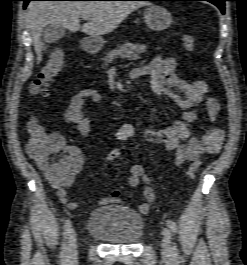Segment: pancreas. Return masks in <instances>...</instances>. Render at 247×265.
Returning <instances> with one entry per match:
<instances>
[{"mask_svg":"<svg viewBox=\"0 0 247 265\" xmlns=\"http://www.w3.org/2000/svg\"><path fill=\"white\" fill-rule=\"evenodd\" d=\"M145 47H139L133 43L125 42L111 51H109L104 58H102V67L108 66L115 58L128 59L131 61H136L140 59V54L145 52Z\"/></svg>","mask_w":247,"mask_h":265,"instance_id":"pancreas-1","label":"pancreas"}]
</instances>
